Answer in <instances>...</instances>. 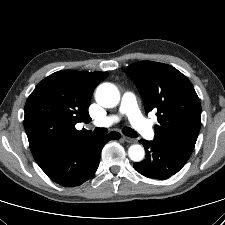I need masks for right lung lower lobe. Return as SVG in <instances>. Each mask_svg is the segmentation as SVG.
Returning <instances> with one entry per match:
<instances>
[{"label":"right lung lower lobe","mask_w":225,"mask_h":225,"mask_svg":"<svg viewBox=\"0 0 225 225\" xmlns=\"http://www.w3.org/2000/svg\"><path fill=\"white\" fill-rule=\"evenodd\" d=\"M120 137V133L111 132L62 141L34 159L52 181L64 187L79 186L96 172L103 146Z\"/></svg>","instance_id":"98d812e1"}]
</instances>
